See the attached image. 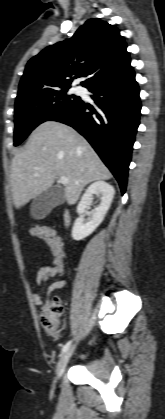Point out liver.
<instances>
[{
    "instance_id": "6515ba94",
    "label": "liver",
    "mask_w": 165,
    "mask_h": 419,
    "mask_svg": "<svg viewBox=\"0 0 165 419\" xmlns=\"http://www.w3.org/2000/svg\"><path fill=\"white\" fill-rule=\"evenodd\" d=\"M63 176L69 178L64 188L69 205L76 203L87 184L112 177L83 136L65 124L46 121L31 133L25 149L12 160L14 206H24Z\"/></svg>"
}]
</instances>
